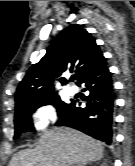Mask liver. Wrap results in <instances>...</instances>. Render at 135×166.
<instances>
[{
  "instance_id": "6515ba94",
  "label": "liver",
  "mask_w": 135,
  "mask_h": 166,
  "mask_svg": "<svg viewBox=\"0 0 135 166\" xmlns=\"http://www.w3.org/2000/svg\"><path fill=\"white\" fill-rule=\"evenodd\" d=\"M103 151L100 141L68 127H56L44 131L34 149L17 153L9 166H77L100 160Z\"/></svg>"
}]
</instances>
